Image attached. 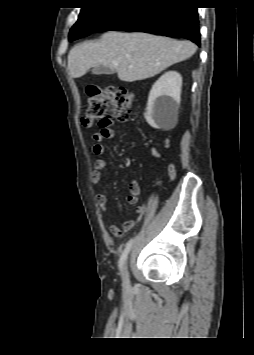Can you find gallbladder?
<instances>
[{
    "label": "gallbladder",
    "mask_w": 254,
    "mask_h": 355,
    "mask_svg": "<svg viewBox=\"0 0 254 355\" xmlns=\"http://www.w3.org/2000/svg\"><path fill=\"white\" fill-rule=\"evenodd\" d=\"M115 69L114 68H109L106 66H96L92 69V73L95 75H101V74H111L114 73Z\"/></svg>",
    "instance_id": "1"
}]
</instances>
